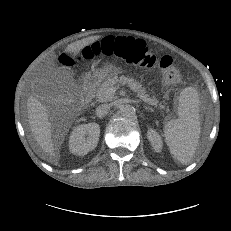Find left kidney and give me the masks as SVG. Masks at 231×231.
I'll list each match as a JSON object with an SVG mask.
<instances>
[{"mask_svg": "<svg viewBox=\"0 0 231 231\" xmlns=\"http://www.w3.org/2000/svg\"><path fill=\"white\" fill-rule=\"evenodd\" d=\"M147 137L151 142L153 149L156 152H160L162 149V139L160 135L154 129H149L147 131Z\"/></svg>", "mask_w": 231, "mask_h": 231, "instance_id": "1", "label": "left kidney"}]
</instances>
